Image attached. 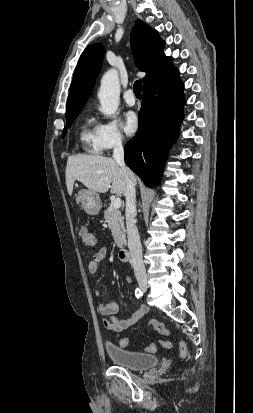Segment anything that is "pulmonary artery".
Here are the masks:
<instances>
[{
    "label": "pulmonary artery",
    "mask_w": 253,
    "mask_h": 413,
    "mask_svg": "<svg viewBox=\"0 0 253 413\" xmlns=\"http://www.w3.org/2000/svg\"><path fill=\"white\" fill-rule=\"evenodd\" d=\"M124 100L128 106H134L136 103L135 96L132 89H128L124 93Z\"/></svg>",
    "instance_id": "1"
}]
</instances>
